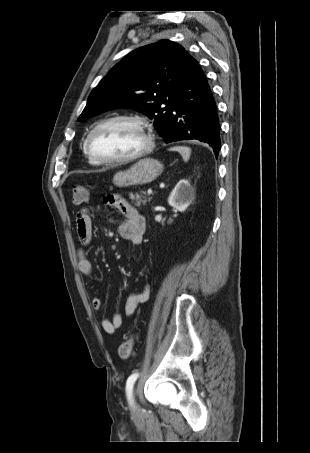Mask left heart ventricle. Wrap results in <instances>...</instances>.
<instances>
[{"mask_svg":"<svg viewBox=\"0 0 310 453\" xmlns=\"http://www.w3.org/2000/svg\"><path fill=\"white\" fill-rule=\"evenodd\" d=\"M145 138L140 129L129 122H113L100 128L92 138L93 151L105 158H122L140 150Z\"/></svg>","mask_w":310,"mask_h":453,"instance_id":"1","label":"left heart ventricle"}]
</instances>
